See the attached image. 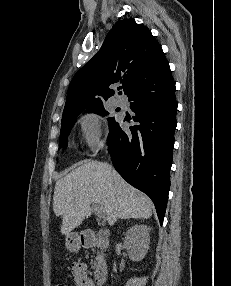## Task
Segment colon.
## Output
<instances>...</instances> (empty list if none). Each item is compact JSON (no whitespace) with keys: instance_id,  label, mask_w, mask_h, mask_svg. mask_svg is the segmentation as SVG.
I'll return each mask as SVG.
<instances>
[{"instance_id":"colon-1","label":"colon","mask_w":231,"mask_h":286,"mask_svg":"<svg viewBox=\"0 0 231 286\" xmlns=\"http://www.w3.org/2000/svg\"><path fill=\"white\" fill-rule=\"evenodd\" d=\"M57 286H69V285H67L65 283H61V284H58Z\"/></svg>"}]
</instances>
